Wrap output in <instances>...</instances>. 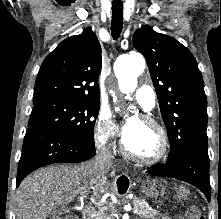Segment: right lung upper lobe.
I'll use <instances>...</instances> for the list:
<instances>
[{
    "mask_svg": "<svg viewBox=\"0 0 221 219\" xmlns=\"http://www.w3.org/2000/svg\"><path fill=\"white\" fill-rule=\"evenodd\" d=\"M102 56L91 28L62 41L43 61L33 103L49 99L100 102Z\"/></svg>",
    "mask_w": 221,
    "mask_h": 219,
    "instance_id": "right-lung-upper-lobe-1",
    "label": "right lung upper lobe"
}]
</instances>
